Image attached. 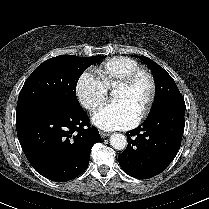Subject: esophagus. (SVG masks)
<instances>
[{
  "label": "esophagus",
  "mask_w": 209,
  "mask_h": 209,
  "mask_svg": "<svg viewBox=\"0 0 209 209\" xmlns=\"http://www.w3.org/2000/svg\"><path fill=\"white\" fill-rule=\"evenodd\" d=\"M110 135V133H107V132H104V131H100V136L102 137V138H106V137H108Z\"/></svg>",
  "instance_id": "obj_1"
}]
</instances>
